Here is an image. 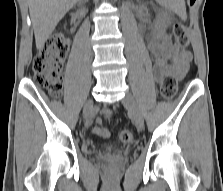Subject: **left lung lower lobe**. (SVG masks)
<instances>
[{
	"label": "left lung lower lobe",
	"mask_w": 223,
	"mask_h": 191,
	"mask_svg": "<svg viewBox=\"0 0 223 191\" xmlns=\"http://www.w3.org/2000/svg\"><path fill=\"white\" fill-rule=\"evenodd\" d=\"M194 1H195V0H191V4H193V3H194Z\"/></svg>",
	"instance_id": "0a47b994"
}]
</instances>
